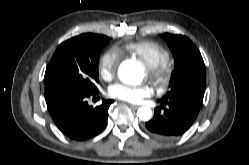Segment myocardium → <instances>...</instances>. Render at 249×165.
Masks as SVG:
<instances>
[{"mask_svg":"<svg viewBox=\"0 0 249 165\" xmlns=\"http://www.w3.org/2000/svg\"><path fill=\"white\" fill-rule=\"evenodd\" d=\"M173 74V65L167 60L155 67H148V76L157 90H165L169 86Z\"/></svg>","mask_w":249,"mask_h":165,"instance_id":"myocardium-1","label":"myocardium"}]
</instances>
